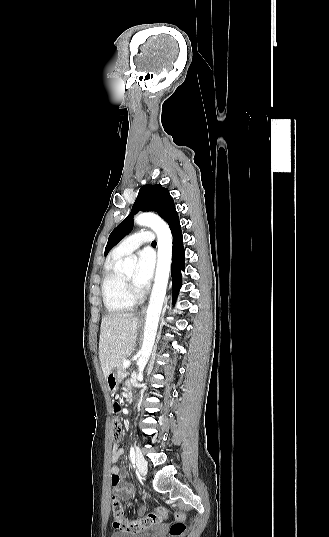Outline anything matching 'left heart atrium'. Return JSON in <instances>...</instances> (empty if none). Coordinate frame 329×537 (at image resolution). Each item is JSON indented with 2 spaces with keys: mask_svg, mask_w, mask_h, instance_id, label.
<instances>
[{
  "mask_svg": "<svg viewBox=\"0 0 329 537\" xmlns=\"http://www.w3.org/2000/svg\"><path fill=\"white\" fill-rule=\"evenodd\" d=\"M154 270V257L148 250L138 254V263L134 278V285L139 291H144L152 278Z\"/></svg>",
  "mask_w": 329,
  "mask_h": 537,
  "instance_id": "obj_1",
  "label": "left heart atrium"
}]
</instances>
